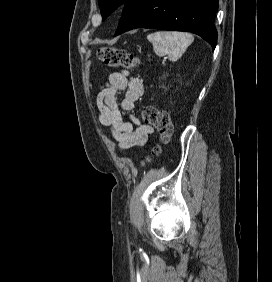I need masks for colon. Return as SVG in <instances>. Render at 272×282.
Masks as SVG:
<instances>
[{
  "instance_id": "obj_1",
  "label": "colon",
  "mask_w": 272,
  "mask_h": 282,
  "mask_svg": "<svg viewBox=\"0 0 272 282\" xmlns=\"http://www.w3.org/2000/svg\"><path fill=\"white\" fill-rule=\"evenodd\" d=\"M96 54L106 66L133 69L137 65L136 57L122 49L103 47L98 49ZM142 118L145 124L158 130L162 142L166 143L170 140L173 134V123L168 112L154 107H145L142 111ZM153 152L158 154L159 147L154 148Z\"/></svg>"
}]
</instances>
